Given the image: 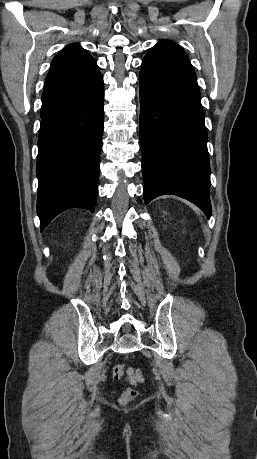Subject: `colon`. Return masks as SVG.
<instances>
[{"label": "colon", "mask_w": 257, "mask_h": 459, "mask_svg": "<svg viewBox=\"0 0 257 459\" xmlns=\"http://www.w3.org/2000/svg\"><path fill=\"white\" fill-rule=\"evenodd\" d=\"M112 374L116 380H120L124 378L125 376L128 378V380L131 383H137L138 381L141 380V376L138 370H136L135 368H128L125 371V369L121 365H115L112 369ZM137 396H138V391L133 387H129L125 389L124 392L122 393L120 397V403L127 404L133 401Z\"/></svg>", "instance_id": "5ec220e1"}]
</instances>
